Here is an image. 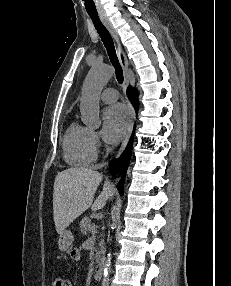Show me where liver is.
I'll return each mask as SVG.
<instances>
[{
    "instance_id": "liver-1",
    "label": "liver",
    "mask_w": 231,
    "mask_h": 286,
    "mask_svg": "<svg viewBox=\"0 0 231 286\" xmlns=\"http://www.w3.org/2000/svg\"><path fill=\"white\" fill-rule=\"evenodd\" d=\"M102 174L89 168H68L55 177L53 217L57 233L63 232L77 217L91 207L96 211L105 206L115 193L106 180L103 191L94 200ZM94 200V202H93Z\"/></svg>"
}]
</instances>
